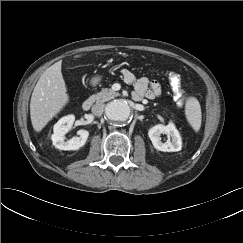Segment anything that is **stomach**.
I'll return each mask as SVG.
<instances>
[{
    "label": "stomach",
    "mask_w": 243,
    "mask_h": 243,
    "mask_svg": "<svg viewBox=\"0 0 243 243\" xmlns=\"http://www.w3.org/2000/svg\"><path fill=\"white\" fill-rule=\"evenodd\" d=\"M99 80H100L99 77H94L93 80H92V83L96 84Z\"/></svg>",
    "instance_id": "1"
}]
</instances>
